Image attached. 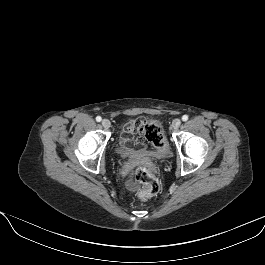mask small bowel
<instances>
[{
  "label": "small bowel",
  "instance_id": "obj_1",
  "mask_svg": "<svg viewBox=\"0 0 265 265\" xmlns=\"http://www.w3.org/2000/svg\"><path fill=\"white\" fill-rule=\"evenodd\" d=\"M146 120L136 119L126 123L123 127V132L121 135V142L124 145L126 154L128 156H133L134 147H140L143 145L142 140V126ZM133 143L134 147H131L130 144Z\"/></svg>",
  "mask_w": 265,
  "mask_h": 265
}]
</instances>
